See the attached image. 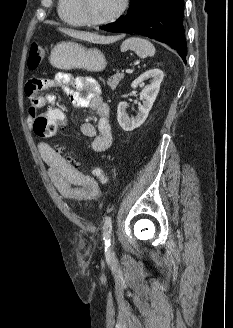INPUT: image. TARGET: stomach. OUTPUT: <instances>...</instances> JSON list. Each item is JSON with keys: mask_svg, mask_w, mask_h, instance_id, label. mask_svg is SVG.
<instances>
[{"mask_svg": "<svg viewBox=\"0 0 233 328\" xmlns=\"http://www.w3.org/2000/svg\"><path fill=\"white\" fill-rule=\"evenodd\" d=\"M50 63L53 67L70 70L84 69L91 72L102 71L106 60L96 48H86L75 42L58 43L51 51Z\"/></svg>", "mask_w": 233, "mask_h": 328, "instance_id": "stomach-1", "label": "stomach"}]
</instances>
